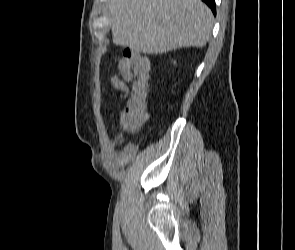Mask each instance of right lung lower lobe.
<instances>
[{
	"label": "right lung lower lobe",
	"instance_id": "right-lung-lower-lobe-1",
	"mask_svg": "<svg viewBox=\"0 0 295 250\" xmlns=\"http://www.w3.org/2000/svg\"><path fill=\"white\" fill-rule=\"evenodd\" d=\"M205 2L212 10L214 14H216V8H215V0H202Z\"/></svg>",
	"mask_w": 295,
	"mask_h": 250
}]
</instances>
